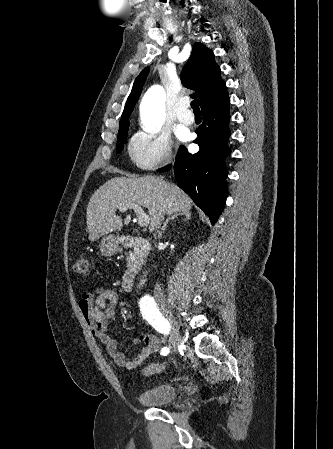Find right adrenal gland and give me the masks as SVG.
Segmentation results:
<instances>
[{
	"label": "right adrenal gland",
	"instance_id": "2a0ac1e0",
	"mask_svg": "<svg viewBox=\"0 0 333 449\" xmlns=\"http://www.w3.org/2000/svg\"><path fill=\"white\" fill-rule=\"evenodd\" d=\"M182 215L185 216V218L188 219V220L191 218V213L188 212V211H184V212H181V213H179V214H174V215H172L171 217H169L168 219H166V221L164 222L163 227H162L161 232L159 233V235H162V233L165 231V228H166V226H167V224H168V222H169L170 220H174V219L177 218L178 216H182Z\"/></svg>",
	"mask_w": 333,
	"mask_h": 449
}]
</instances>
